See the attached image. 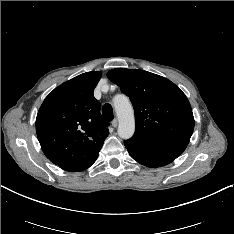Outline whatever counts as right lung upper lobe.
<instances>
[{
	"label": "right lung upper lobe",
	"mask_w": 234,
	"mask_h": 234,
	"mask_svg": "<svg viewBox=\"0 0 234 234\" xmlns=\"http://www.w3.org/2000/svg\"><path fill=\"white\" fill-rule=\"evenodd\" d=\"M101 72L76 76L55 88L42 103L36 132L46 157L62 167L81 162L101 149L109 122L100 114L93 90Z\"/></svg>",
	"instance_id": "1"
}]
</instances>
